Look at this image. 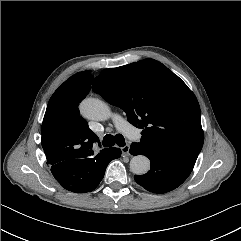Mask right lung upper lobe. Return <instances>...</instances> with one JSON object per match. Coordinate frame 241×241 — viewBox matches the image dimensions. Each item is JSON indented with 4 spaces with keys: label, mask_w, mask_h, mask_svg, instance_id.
I'll return each instance as SVG.
<instances>
[{
    "label": "right lung upper lobe",
    "mask_w": 241,
    "mask_h": 241,
    "mask_svg": "<svg viewBox=\"0 0 241 241\" xmlns=\"http://www.w3.org/2000/svg\"><path fill=\"white\" fill-rule=\"evenodd\" d=\"M92 80L90 71L79 72L50 98L41 127V142L48 163L96 156L93 144L99 142V138L89 129L78 109L90 91ZM109 149H102L98 154Z\"/></svg>",
    "instance_id": "right-lung-upper-lobe-1"
}]
</instances>
